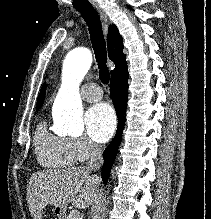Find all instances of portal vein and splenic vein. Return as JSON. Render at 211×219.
<instances>
[{"label":"portal vein and splenic vein","mask_w":211,"mask_h":219,"mask_svg":"<svg viewBox=\"0 0 211 219\" xmlns=\"http://www.w3.org/2000/svg\"><path fill=\"white\" fill-rule=\"evenodd\" d=\"M72 214H75V215H76V212H75V211H73V212H72ZM76 219H80V218H78V217L76 216Z\"/></svg>","instance_id":"obj_1"}]
</instances>
